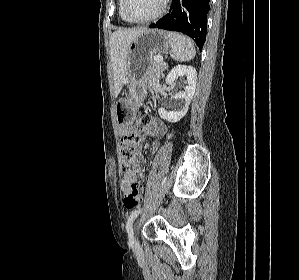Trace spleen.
Wrapping results in <instances>:
<instances>
[{"label":"spleen","instance_id":"spleen-1","mask_svg":"<svg viewBox=\"0 0 299 280\" xmlns=\"http://www.w3.org/2000/svg\"><path fill=\"white\" fill-rule=\"evenodd\" d=\"M171 47L170 56L176 61H189L194 58L196 50L193 42L188 37L175 32H168Z\"/></svg>","mask_w":299,"mask_h":280}]
</instances>
